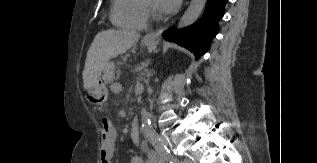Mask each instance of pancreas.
Listing matches in <instances>:
<instances>
[{"instance_id":"pancreas-1","label":"pancreas","mask_w":317,"mask_h":163,"mask_svg":"<svg viewBox=\"0 0 317 163\" xmlns=\"http://www.w3.org/2000/svg\"><path fill=\"white\" fill-rule=\"evenodd\" d=\"M114 75H115V64L114 62H109L103 70L102 78L106 83H112L113 79L115 78Z\"/></svg>"}]
</instances>
